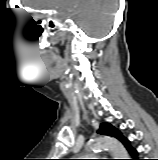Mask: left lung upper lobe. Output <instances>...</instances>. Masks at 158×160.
<instances>
[{
    "label": "left lung upper lobe",
    "instance_id": "1",
    "mask_svg": "<svg viewBox=\"0 0 158 160\" xmlns=\"http://www.w3.org/2000/svg\"><path fill=\"white\" fill-rule=\"evenodd\" d=\"M99 134L108 135L117 138L121 142L125 139L122 133L109 123H102L98 130Z\"/></svg>",
    "mask_w": 158,
    "mask_h": 160
}]
</instances>
